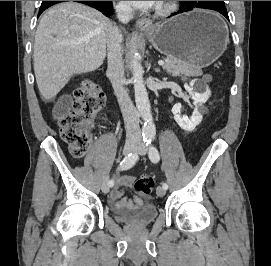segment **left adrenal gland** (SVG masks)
<instances>
[{
  "label": "left adrenal gland",
  "mask_w": 271,
  "mask_h": 266,
  "mask_svg": "<svg viewBox=\"0 0 271 266\" xmlns=\"http://www.w3.org/2000/svg\"><path fill=\"white\" fill-rule=\"evenodd\" d=\"M155 70V72H160V69H154Z\"/></svg>",
  "instance_id": "a2214340"
}]
</instances>
